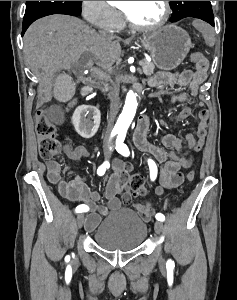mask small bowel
Instances as JSON below:
<instances>
[{
	"label": "small bowel",
	"instance_id": "obj_1",
	"mask_svg": "<svg viewBox=\"0 0 237 300\" xmlns=\"http://www.w3.org/2000/svg\"><path fill=\"white\" fill-rule=\"evenodd\" d=\"M208 62L205 65H196L195 71L188 69L176 72H159L152 75L149 79V85L159 87L164 85L188 86L187 92L173 94L169 98V103L181 102L186 105L177 115V119H185L191 115V104L193 97L198 93L200 86L207 76ZM72 102L69 107L73 106ZM198 114L199 125L196 135L188 134L186 143L191 151H199L206 139L207 121L209 118L208 110L203 103L199 104ZM151 119L148 114H142L136 123L132 135L134 146L141 152L152 156L156 161L162 163L159 185L156 193L162 195L164 189L175 188L183 182V171L190 168L193 163V156L184 150L183 142L172 134H165L161 137V148L148 139ZM66 155L72 160H79L82 157L89 156V152L84 147L71 148L65 147ZM47 178L58 190L62 197L70 202H80L89 208V213L85 220V228L93 230L105 216L108 210L116 211L121 208L122 201L118 195L120 192V177L122 173L130 170V166L122 161H116L112 167V174L107 182L104 197L107 200V206L101 205V196L99 192L92 190L83 179L75 175L71 180H65L61 174V166L57 161H48L46 163ZM130 200V195L123 197L124 202ZM82 205V204H81ZM134 208L142 214L145 219V206L139 203L134 204Z\"/></svg>",
	"mask_w": 237,
	"mask_h": 300
}]
</instances>
